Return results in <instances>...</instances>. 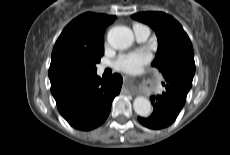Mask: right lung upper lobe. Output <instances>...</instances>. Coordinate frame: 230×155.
Masks as SVG:
<instances>
[{
  "label": "right lung upper lobe",
  "mask_w": 230,
  "mask_h": 155,
  "mask_svg": "<svg viewBox=\"0 0 230 155\" xmlns=\"http://www.w3.org/2000/svg\"><path fill=\"white\" fill-rule=\"evenodd\" d=\"M115 19L116 16L88 12L72 20L54 45L49 71L62 58L104 52V31Z\"/></svg>",
  "instance_id": "obj_1"
}]
</instances>
